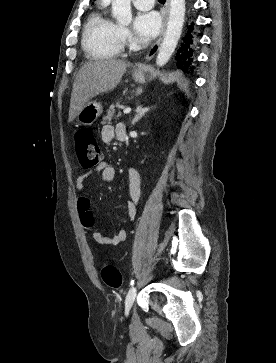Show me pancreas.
<instances>
[{"label": "pancreas", "instance_id": "pancreas-1", "mask_svg": "<svg viewBox=\"0 0 276 363\" xmlns=\"http://www.w3.org/2000/svg\"><path fill=\"white\" fill-rule=\"evenodd\" d=\"M115 107L120 108L121 107L120 103L118 102L115 105L113 104L110 106L109 110L107 111V115L105 117H103V121H102L103 124L111 122L112 118L114 117ZM119 116H120V114L117 117H119Z\"/></svg>", "mask_w": 276, "mask_h": 363}]
</instances>
